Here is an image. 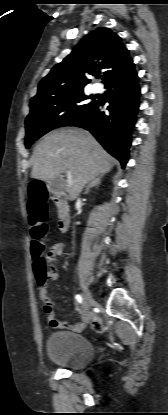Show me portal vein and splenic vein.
Returning <instances> with one entry per match:
<instances>
[{"label": "portal vein and splenic vein", "instance_id": "portal-vein-and-splenic-vein-1", "mask_svg": "<svg viewBox=\"0 0 168 415\" xmlns=\"http://www.w3.org/2000/svg\"><path fill=\"white\" fill-rule=\"evenodd\" d=\"M67 186L71 188L73 186L72 175L70 171H67Z\"/></svg>", "mask_w": 168, "mask_h": 415}]
</instances>
